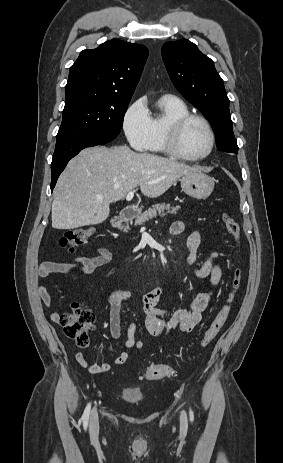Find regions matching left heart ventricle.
Instances as JSON below:
<instances>
[{"label":"left heart ventricle","instance_id":"obj_1","mask_svg":"<svg viewBox=\"0 0 283 463\" xmlns=\"http://www.w3.org/2000/svg\"><path fill=\"white\" fill-rule=\"evenodd\" d=\"M210 137L204 124L194 120L183 129L179 146L181 151L190 157L201 156L209 148Z\"/></svg>","mask_w":283,"mask_h":463}]
</instances>
